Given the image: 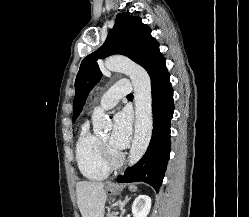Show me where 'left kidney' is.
<instances>
[{
  "label": "left kidney",
  "instance_id": "left-kidney-1",
  "mask_svg": "<svg viewBox=\"0 0 249 217\" xmlns=\"http://www.w3.org/2000/svg\"><path fill=\"white\" fill-rule=\"evenodd\" d=\"M151 208V198L148 195L140 194L132 204L133 217H147Z\"/></svg>",
  "mask_w": 249,
  "mask_h": 217
}]
</instances>
